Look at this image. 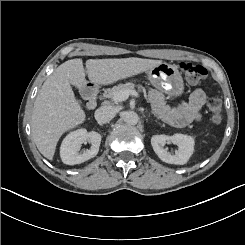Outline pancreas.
<instances>
[{
  "mask_svg": "<svg viewBox=\"0 0 245 245\" xmlns=\"http://www.w3.org/2000/svg\"><path fill=\"white\" fill-rule=\"evenodd\" d=\"M133 84L128 82L126 84H118L112 88H104L102 95L108 99H115L116 94L121 90H132Z\"/></svg>",
  "mask_w": 245,
  "mask_h": 245,
  "instance_id": "pancreas-1",
  "label": "pancreas"
}]
</instances>
